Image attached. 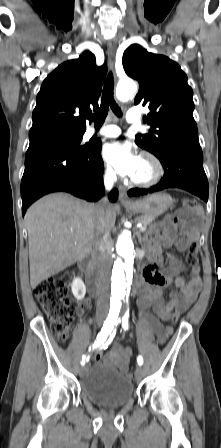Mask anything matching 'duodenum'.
Masks as SVG:
<instances>
[{
	"label": "duodenum",
	"instance_id": "duodenum-1",
	"mask_svg": "<svg viewBox=\"0 0 221 448\" xmlns=\"http://www.w3.org/2000/svg\"><path fill=\"white\" fill-rule=\"evenodd\" d=\"M79 268L87 278V287L89 293L92 295H96L98 293V276L92 263V258L89 254L84 256L80 260Z\"/></svg>",
	"mask_w": 221,
	"mask_h": 448
}]
</instances>
